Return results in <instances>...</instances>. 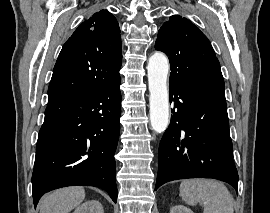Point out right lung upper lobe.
<instances>
[{"label": "right lung upper lobe", "mask_w": 270, "mask_h": 213, "mask_svg": "<svg viewBox=\"0 0 270 213\" xmlns=\"http://www.w3.org/2000/svg\"><path fill=\"white\" fill-rule=\"evenodd\" d=\"M120 28L107 10L81 23L63 45L48 88V102L82 96L120 80Z\"/></svg>", "instance_id": "right-lung-upper-lobe-1"}]
</instances>
